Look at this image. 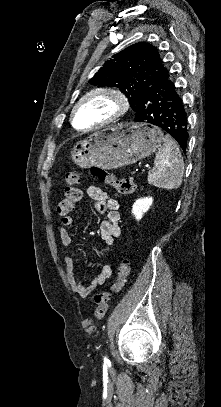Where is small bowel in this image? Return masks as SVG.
<instances>
[{"mask_svg":"<svg viewBox=\"0 0 221 407\" xmlns=\"http://www.w3.org/2000/svg\"><path fill=\"white\" fill-rule=\"evenodd\" d=\"M87 194L93 201L95 210L98 213L106 214V219L100 224V238L107 244L112 245L119 238L121 230L118 226L120 220V204L118 200L111 198L108 194L98 186H89ZM73 224V219L70 216L61 218V226L59 227V237L64 248L69 249L72 245V237L67 228ZM65 270L68 282L72 291L80 298H85L98 286L103 285L111 277L112 270L108 264H104L97 276L88 284H82L75 275V263L71 255H66L64 258ZM83 326H86L84 323Z\"/></svg>","mask_w":221,"mask_h":407,"instance_id":"obj_1","label":"small bowel"}]
</instances>
